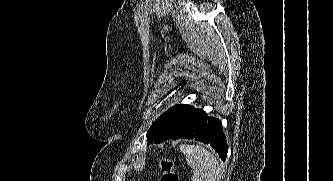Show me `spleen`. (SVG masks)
Returning a JSON list of instances; mask_svg holds the SVG:
<instances>
[{
    "label": "spleen",
    "instance_id": "1",
    "mask_svg": "<svg viewBox=\"0 0 333 181\" xmlns=\"http://www.w3.org/2000/svg\"><path fill=\"white\" fill-rule=\"evenodd\" d=\"M181 152L187 165L193 169L192 181H219L222 175L221 163L207 149L198 145L182 144Z\"/></svg>",
    "mask_w": 333,
    "mask_h": 181
}]
</instances>
